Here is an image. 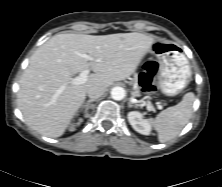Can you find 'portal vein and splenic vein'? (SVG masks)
Returning a JSON list of instances; mask_svg holds the SVG:
<instances>
[{
  "mask_svg": "<svg viewBox=\"0 0 222 187\" xmlns=\"http://www.w3.org/2000/svg\"><path fill=\"white\" fill-rule=\"evenodd\" d=\"M81 57H83L87 60L92 59V57L89 56L88 54H81ZM89 72H90L89 69L83 70L78 77H75V78L72 79L71 84H73V85L84 84L87 80ZM63 90H64V87H61L58 90V93H61ZM147 108L151 111L154 110V107L152 106V104L150 102L147 103Z\"/></svg>",
  "mask_w": 222,
  "mask_h": 187,
  "instance_id": "18ae733b",
  "label": "portal vein and splenic vein"
}]
</instances>
